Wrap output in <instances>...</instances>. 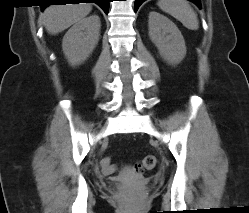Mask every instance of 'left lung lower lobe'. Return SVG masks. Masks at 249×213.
I'll use <instances>...</instances> for the list:
<instances>
[{"instance_id": "left-lung-lower-lobe-1", "label": "left lung lower lobe", "mask_w": 249, "mask_h": 213, "mask_svg": "<svg viewBox=\"0 0 249 213\" xmlns=\"http://www.w3.org/2000/svg\"><path fill=\"white\" fill-rule=\"evenodd\" d=\"M144 1L145 0H135V6H134L135 12L137 11L141 3ZM190 1L194 2L198 7H201L200 0H190Z\"/></svg>"}]
</instances>
